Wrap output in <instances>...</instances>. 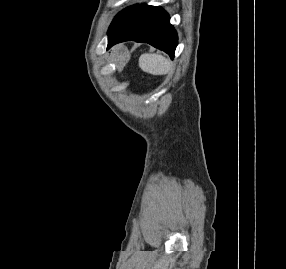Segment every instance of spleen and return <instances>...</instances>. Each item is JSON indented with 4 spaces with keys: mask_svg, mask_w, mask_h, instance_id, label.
Instances as JSON below:
<instances>
[{
    "mask_svg": "<svg viewBox=\"0 0 286 269\" xmlns=\"http://www.w3.org/2000/svg\"><path fill=\"white\" fill-rule=\"evenodd\" d=\"M140 68L153 75H162L169 72L170 62L158 54H142L139 58Z\"/></svg>",
    "mask_w": 286,
    "mask_h": 269,
    "instance_id": "spleen-1",
    "label": "spleen"
}]
</instances>
